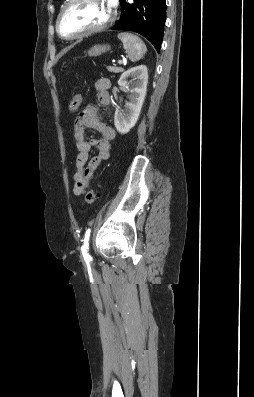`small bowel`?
Segmentation results:
<instances>
[{
    "mask_svg": "<svg viewBox=\"0 0 254 397\" xmlns=\"http://www.w3.org/2000/svg\"><path fill=\"white\" fill-rule=\"evenodd\" d=\"M94 87L99 103L103 106L110 105V81L106 78L98 79ZM87 128L98 131L100 136L87 140L85 137ZM114 137V129L99 119L96 105H86L74 122V144L78 150L73 186L75 195L80 196L85 193L102 161L110 157V141ZM93 147L97 149V155L89 159V153Z\"/></svg>",
    "mask_w": 254,
    "mask_h": 397,
    "instance_id": "1",
    "label": "small bowel"
}]
</instances>
